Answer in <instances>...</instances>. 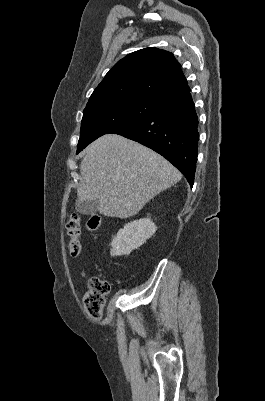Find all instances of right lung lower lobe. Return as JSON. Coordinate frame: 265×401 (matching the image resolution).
I'll list each match as a JSON object with an SVG mask.
<instances>
[{
    "mask_svg": "<svg viewBox=\"0 0 265 401\" xmlns=\"http://www.w3.org/2000/svg\"><path fill=\"white\" fill-rule=\"evenodd\" d=\"M165 157L193 186L198 151V117L191 93L167 101L150 115L111 132Z\"/></svg>",
    "mask_w": 265,
    "mask_h": 401,
    "instance_id": "right-lung-lower-lobe-1",
    "label": "right lung lower lobe"
}]
</instances>
